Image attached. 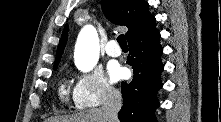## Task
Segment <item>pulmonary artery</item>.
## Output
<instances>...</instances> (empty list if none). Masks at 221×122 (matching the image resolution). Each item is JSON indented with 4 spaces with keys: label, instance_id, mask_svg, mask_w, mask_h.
<instances>
[{
    "label": "pulmonary artery",
    "instance_id": "1",
    "mask_svg": "<svg viewBox=\"0 0 221 122\" xmlns=\"http://www.w3.org/2000/svg\"><path fill=\"white\" fill-rule=\"evenodd\" d=\"M106 53L111 57H117L121 54V49L116 40H110L105 47Z\"/></svg>",
    "mask_w": 221,
    "mask_h": 122
}]
</instances>
